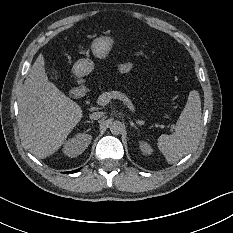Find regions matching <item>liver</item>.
Segmentation results:
<instances>
[{
    "instance_id": "1",
    "label": "liver",
    "mask_w": 233,
    "mask_h": 233,
    "mask_svg": "<svg viewBox=\"0 0 233 233\" xmlns=\"http://www.w3.org/2000/svg\"><path fill=\"white\" fill-rule=\"evenodd\" d=\"M82 117L81 106L49 81L44 57L39 54L19 98L18 123L27 148L40 158L50 156Z\"/></svg>"
}]
</instances>
